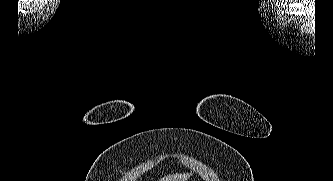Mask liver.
Here are the masks:
<instances>
[{
	"label": "liver",
	"mask_w": 333,
	"mask_h": 181,
	"mask_svg": "<svg viewBox=\"0 0 333 181\" xmlns=\"http://www.w3.org/2000/svg\"><path fill=\"white\" fill-rule=\"evenodd\" d=\"M190 177V174H171L166 177L161 178L159 181H187Z\"/></svg>",
	"instance_id": "6515ba94"
}]
</instances>
